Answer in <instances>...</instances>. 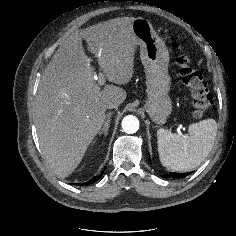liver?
Wrapping results in <instances>:
<instances>
[{
  "mask_svg": "<svg viewBox=\"0 0 236 236\" xmlns=\"http://www.w3.org/2000/svg\"><path fill=\"white\" fill-rule=\"evenodd\" d=\"M135 18L121 17L73 32L47 65L36 99V128L42 154L51 170L66 178L74 172L106 119V105L118 106L126 91L102 90L82 45L84 39L107 80L128 83L134 73Z\"/></svg>",
  "mask_w": 236,
  "mask_h": 236,
  "instance_id": "6515ba94",
  "label": "liver"
}]
</instances>
